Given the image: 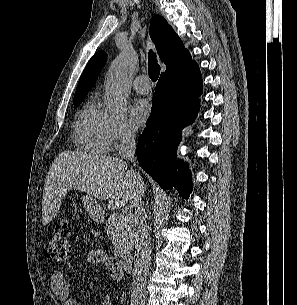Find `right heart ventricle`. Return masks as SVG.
Masks as SVG:
<instances>
[{
	"mask_svg": "<svg viewBox=\"0 0 297 305\" xmlns=\"http://www.w3.org/2000/svg\"><path fill=\"white\" fill-rule=\"evenodd\" d=\"M110 114L95 100H89L79 110L73 128L76 146L85 152L106 154L112 140L109 128Z\"/></svg>",
	"mask_w": 297,
	"mask_h": 305,
	"instance_id": "obj_1",
	"label": "right heart ventricle"
}]
</instances>
